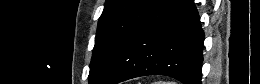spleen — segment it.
<instances>
[{
    "mask_svg": "<svg viewBox=\"0 0 260 84\" xmlns=\"http://www.w3.org/2000/svg\"><path fill=\"white\" fill-rule=\"evenodd\" d=\"M155 84H176L175 82H163V81H160V82H155Z\"/></svg>",
    "mask_w": 260,
    "mask_h": 84,
    "instance_id": "1",
    "label": "spleen"
}]
</instances>
